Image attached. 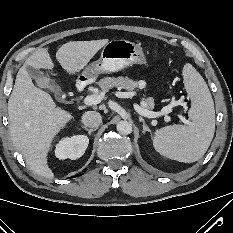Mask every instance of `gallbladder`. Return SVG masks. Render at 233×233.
<instances>
[{
  "mask_svg": "<svg viewBox=\"0 0 233 233\" xmlns=\"http://www.w3.org/2000/svg\"><path fill=\"white\" fill-rule=\"evenodd\" d=\"M26 70L31 78H33L37 85L44 89H49L51 92H54L57 98L61 97V90L58 85L52 83L48 77H46L40 70L27 66Z\"/></svg>",
  "mask_w": 233,
  "mask_h": 233,
  "instance_id": "bac80fb5",
  "label": "gallbladder"
}]
</instances>
